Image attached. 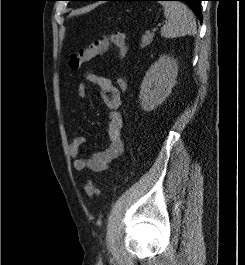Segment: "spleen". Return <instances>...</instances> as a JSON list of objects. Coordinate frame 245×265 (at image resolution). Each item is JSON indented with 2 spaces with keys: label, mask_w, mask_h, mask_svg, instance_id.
I'll return each mask as SVG.
<instances>
[{
  "label": "spleen",
  "mask_w": 245,
  "mask_h": 265,
  "mask_svg": "<svg viewBox=\"0 0 245 265\" xmlns=\"http://www.w3.org/2000/svg\"><path fill=\"white\" fill-rule=\"evenodd\" d=\"M166 24L161 28L164 38H176L196 33V20L194 14L181 2L162 1Z\"/></svg>",
  "instance_id": "1"
}]
</instances>
